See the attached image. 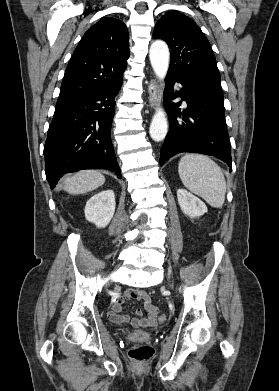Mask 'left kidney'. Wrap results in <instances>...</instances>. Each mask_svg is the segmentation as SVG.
<instances>
[{
  "label": "left kidney",
  "instance_id": "5707ae66",
  "mask_svg": "<svg viewBox=\"0 0 279 391\" xmlns=\"http://www.w3.org/2000/svg\"><path fill=\"white\" fill-rule=\"evenodd\" d=\"M177 198L183 213L191 218L200 217L207 212L205 203L185 189L177 190Z\"/></svg>",
  "mask_w": 279,
  "mask_h": 391
}]
</instances>
